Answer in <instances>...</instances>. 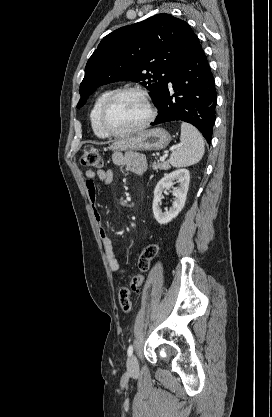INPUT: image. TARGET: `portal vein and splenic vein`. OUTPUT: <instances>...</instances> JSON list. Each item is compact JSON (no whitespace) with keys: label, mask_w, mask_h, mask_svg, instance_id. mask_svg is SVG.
Listing matches in <instances>:
<instances>
[{"label":"portal vein and splenic vein","mask_w":272,"mask_h":417,"mask_svg":"<svg viewBox=\"0 0 272 417\" xmlns=\"http://www.w3.org/2000/svg\"><path fill=\"white\" fill-rule=\"evenodd\" d=\"M165 158H166V156H161V157H160V161H164V160H165Z\"/></svg>","instance_id":"obj_1"}]
</instances>
